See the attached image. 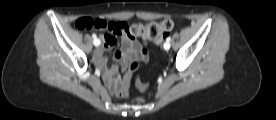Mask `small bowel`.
<instances>
[{"mask_svg": "<svg viewBox=\"0 0 276 120\" xmlns=\"http://www.w3.org/2000/svg\"><path fill=\"white\" fill-rule=\"evenodd\" d=\"M124 22H107V25L103 30L107 33L100 34L99 38L102 41V47L95 54V61L98 65L104 66L106 63L104 57V50L111 49L117 43V37H121V49L116 52L115 57L121 66V69L126 70L127 64L137 58L146 59V50L134 37L127 36L124 32L126 27ZM118 67L112 65L106 68L104 72V80L109 90L114 93L119 84V78L117 77Z\"/></svg>", "mask_w": 276, "mask_h": 120, "instance_id": "obj_1", "label": "small bowel"}]
</instances>
